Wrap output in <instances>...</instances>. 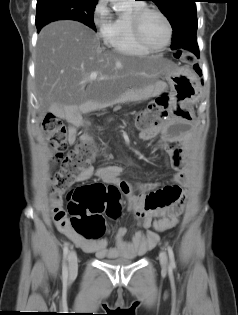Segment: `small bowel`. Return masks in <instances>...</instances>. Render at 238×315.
<instances>
[{
  "label": "small bowel",
  "instance_id": "small-bowel-1",
  "mask_svg": "<svg viewBox=\"0 0 238 315\" xmlns=\"http://www.w3.org/2000/svg\"><path fill=\"white\" fill-rule=\"evenodd\" d=\"M79 120H74L70 128L69 140L71 143L77 138V125ZM161 133L166 139L158 141V146H165L168 154L167 166L175 171L171 184L162 189L155 190V183H141L133 185L122 179L125 170L117 164H107L95 169L88 166L82 170L75 181L83 183L97 177L105 183L115 184L127 199V210L137 219V230L130 240L126 239L127 229L117 227L113 230L115 244L109 246L106 239L88 240L80 233H74L69 224V217L62 209V192L57 191L50 196V206L54 223L58 230L69 237L75 244L86 252L95 253L99 258L129 257L136 258L145 254L154 247L159 236L150 230L153 219L168 222V229L178 223L179 214L182 211L186 192L181 185L186 186L190 179V169L187 161V139L174 138L165 127H154L150 130H141L139 138L143 141L153 139Z\"/></svg>",
  "mask_w": 238,
  "mask_h": 315
}]
</instances>
